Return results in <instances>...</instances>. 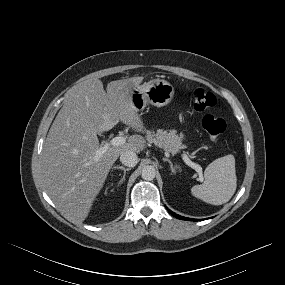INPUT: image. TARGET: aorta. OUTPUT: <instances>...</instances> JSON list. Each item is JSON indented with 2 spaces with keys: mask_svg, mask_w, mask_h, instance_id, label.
I'll return each mask as SVG.
<instances>
[{
  "mask_svg": "<svg viewBox=\"0 0 285 285\" xmlns=\"http://www.w3.org/2000/svg\"><path fill=\"white\" fill-rule=\"evenodd\" d=\"M141 176L144 180L151 181L156 176V170L153 166H145L142 169Z\"/></svg>",
  "mask_w": 285,
  "mask_h": 285,
  "instance_id": "762f6f07",
  "label": "aorta"
}]
</instances>
